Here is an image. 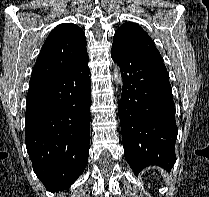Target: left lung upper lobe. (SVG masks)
Listing matches in <instances>:
<instances>
[{
	"instance_id": "5c2ea615",
	"label": "left lung upper lobe",
	"mask_w": 209,
	"mask_h": 197,
	"mask_svg": "<svg viewBox=\"0 0 209 197\" xmlns=\"http://www.w3.org/2000/svg\"><path fill=\"white\" fill-rule=\"evenodd\" d=\"M112 46L162 61L150 36L136 23L126 22L116 32Z\"/></svg>"
}]
</instances>
